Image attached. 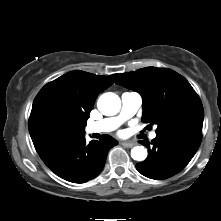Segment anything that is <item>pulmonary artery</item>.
I'll return each instance as SVG.
<instances>
[{
    "instance_id": "obj_1",
    "label": "pulmonary artery",
    "mask_w": 221,
    "mask_h": 221,
    "mask_svg": "<svg viewBox=\"0 0 221 221\" xmlns=\"http://www.w3.org/2000/svg\"><path fill=\"white\" fill-rule=\"evenodd\" d=\"M121 103L119 115L92 122L86 127V131L88 133H106L115 130L138 111L142 104V98L136 92H125L121 96ZM155 137L156 133L152 132L150 138L154 139Z\"/></svg>"
}]
</instances>
